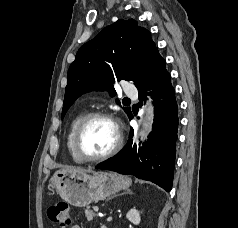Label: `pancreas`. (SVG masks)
Instances as JSON below:
<instances>
[{"label": "pancreas", "instance_id": "pancreas-1", "mask_svg": "<svg viewBox=\"0 0 238 228\" xmlns=\"http://www.w3.org/2000/svg\"><path fill=\"white\" fill-rule=\"evenodd\" d=\"M85 216L88 221H92L96 214L92 210H90V207H87L85 209Z\"/></svg>", "mask_w": 238, "mask_h": 228}]
</instances>
